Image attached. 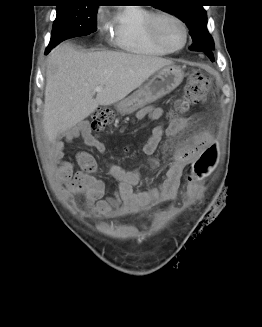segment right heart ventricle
<instances>
[{
	"mask_svg": "<svg viewBox=\"0 0 262 327\" xmlns=\"http://www.w3.org/2000/svg\"><path fill=\"white\" fill-rule=\"evenodd\" d=\"M154 12L141 7H123L110 21L114 45L127 52L164 56L171 53L158 44L149 31Z\"/></svg>",
	"mask_w": 262,
	"mask_h": 327,
	"instance_id": "e07e8e85",
	"label": "right heart ventricle"
}]
</instances>
